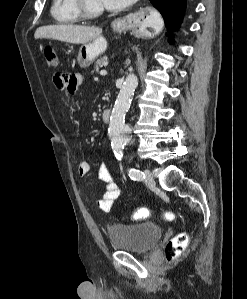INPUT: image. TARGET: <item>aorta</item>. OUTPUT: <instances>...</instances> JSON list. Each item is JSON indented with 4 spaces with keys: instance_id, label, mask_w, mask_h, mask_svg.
Instances as JSON below:
<instances>
[{
    "instance_id": "obj_1",
    "label": "aorta",
    "mask_w": 247,
    "mask_h": 299,
    "mask_svg": "<svg viewBox=\"0 0 247 299\" xmlns=\"http://www.w3.org/2000/svg\"><path fill=\"white\" fill-rule=\"evenodd\" d=\"M137 86V76L133 73L129 74L120 89L110 116L108 134L111 138V148L116 155L122 154L124 146L131 139V129L125 123V116Z\"/></svg>"
}]
</instances>
